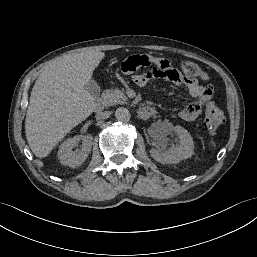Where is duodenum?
I'll return each instance as SVG.
<instances>
[{
  "label": "duodenum",
  "mask_w": 257,
  "mask_h": 257,
  "mask_svg": "<svg viewBox=\"0 0 257 257\" xmlns=\"http://www.w3.org/2000/svg\"><path fill=\"white\" fill-rule=\"evenodd\" d=\"M94 112L100 114L104 110V101L102 98H97L94 102ZM155 110L151 107H143L139 110V115L142 118H149L155 115Z\"/></svg>",
  "instance_id": "obj_1"
}]
</instances>
